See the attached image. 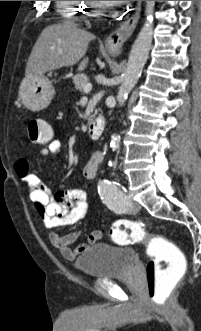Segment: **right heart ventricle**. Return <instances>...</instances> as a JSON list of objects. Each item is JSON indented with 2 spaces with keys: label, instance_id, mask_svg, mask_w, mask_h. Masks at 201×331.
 Here are the masks:
<instances>
[{
  "label": "right heart ventricle",
  "instance_id": "1",
  "mask_svg": "<svg viewBox=\"0 0 201 331\" xmlns=\"http://www.w3.org/2000/svg\"><path fill=\"white\" fill-rule=\"evenodd\" d=\"M88 3L89 1H56L61 17L74 24L82 21V15L87 10Z\"/></svg>",
  "mask_w": 201,
  "mask_h": 331
}]
</instances>
